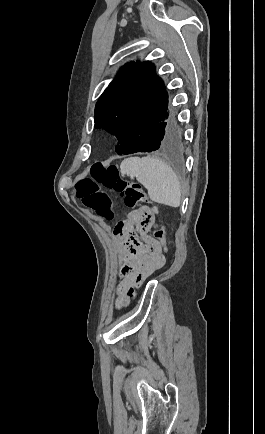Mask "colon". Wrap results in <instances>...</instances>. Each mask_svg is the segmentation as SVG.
Instances as JSON below:
<instances>
[{
    "label": "colon",
    "mask_w": 265,
    "mask_h": 434,
    "mask_svg": "<svg viewBox=\"0 0 265 434\" xmlns=\"http://www.w3.org/2000/svg\"><path fill=\"white\" fill-rule=\"evenodd\" d=\"M101 187L113 190L121 196L125 206L130 209H134L137 205L147 201L144 189L138 183L122 178L116 165L105 167L95 164L93 168H90V176L87 173L82 175L79 185V200L84 207L108 220L112 219L113 215L110 211L109 198L106 192L101 190ZM153 237L159 240L161 247L159 255H163L166 242L164 231L161 228L155 229Z\"/></svg>",
    "instance_id": "5ec220e1"
}]
</instances>
